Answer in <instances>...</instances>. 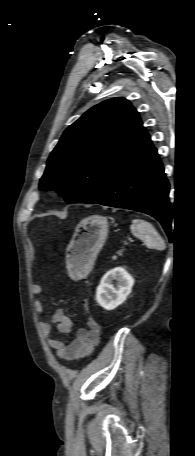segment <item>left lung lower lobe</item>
Masks as SVG:
<instances>
[{"mask_svg": "<svg viewBox=\"0 0 195 456\" xmlns=\"http://www.w3.org/2000/svg\"><path fill=\"white\" fill-rule=\"evenodd\" d=\"M169 183L149 134L142 126L103 185L85 202L131 209L156 218L171 235Z\"/></svg>", "mask_w": 195, "mask_h": 456, "instance_id": "0a47b994", "label": "left lung lower lobe"}]
</instances>
